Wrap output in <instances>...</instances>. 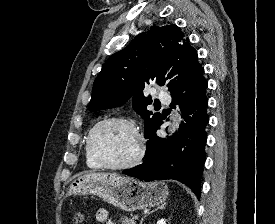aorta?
<instances>
[{
  "label": "aorta",
  "mask_w": 275,
  "mask_h": 224,
  "mask_svg": "<svg viewBox=\"0 0 275 224\" xmlns=\"http://www.w3.org/2000/svg\"><path fill=\"white\" fill-rule=\"evenodd\" d=\"M177 129V123H176V120L174 119L173 120V123L171 124V132H174L175 130Z\"/></svg>",
  "instance_id": "762f6f07"
}]
</instances>
